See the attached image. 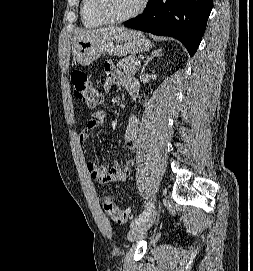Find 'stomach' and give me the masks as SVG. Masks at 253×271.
Segmentation results:
<instances>
[{
    "label": "stomach",
    "mask_w": 253,
    "mask_h": 271,
    "mask_svg": "<svg viewBox=\"0 0 253 271\" xmlns=\"http://www.w3.org/2000/svg\"><path fill=\"white\" fill-rule=\"evenodd\" d=\"M150 46L140 31L122 28L91 33L75 41L72 52L77 63L87 66L101 56L136 54L148 50Z\"/></svg>",
    "instance_id": "1"
}]
</instances>
